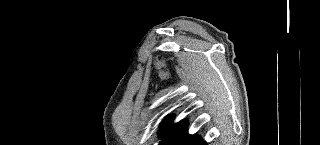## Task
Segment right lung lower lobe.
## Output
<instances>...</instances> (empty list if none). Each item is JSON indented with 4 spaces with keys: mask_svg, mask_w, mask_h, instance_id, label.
Returning <instances> with one entry per match:
<instances>
[{
    "mask_svg": "<svg viewBox=\"0 0 320 145\" xmlns=\"http://www.w3.org/2000/svg\"><path fill=\"white\" fill-rule=\"evenodd\" d=\"M168 145H207L198 135H189L187 131L181 133L171 140Z\"/></svg>",
    "mask_w": 320,
    "mask_h": 145,
    "instance_id": "1",
    "label": "right lung lower lobe"
}]
</instances>
